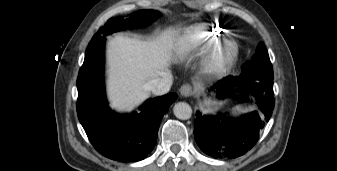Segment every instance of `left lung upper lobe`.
<instances>
[{"instance_id":"5c2ea615","label":"left lung upper lobe","mask_w":337,"mask_h":171,"mask_svg":"<svg viewBox=\"0 0 337 171\" xmlns=\"http://www.w3.org/2000/svg\"><path fill=\"white\" fill-rule=\"evenodd\" d=\"M242 72L273 75L272 64L268 52L262 42L257 46L256 52L252 56V60L243 65Z\"/></svg>"}]
</instances>
